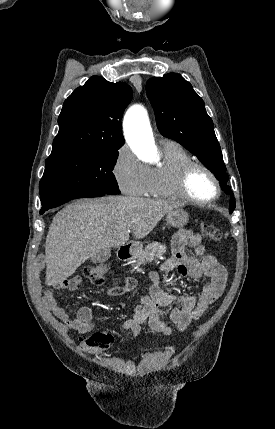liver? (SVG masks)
I'll return each instance as SVG.
<instances>
[{
  "label": "liver",
  "instance_id": "liver-1",
  "mask_svg": "<svg viewBox=\"0 0 275 429\" xmlns=\"http://www.w3.org/2000/svg\"><path fill=\"white\" fill-rule=\"evenodd\" d=\"M181 205L166 200L105 196L77 200L52 220L45 243L46 284L56 286L106 248L146 237L168 212Z\"/></svg>",
  "mask_w": 275,
  "mask_h": 429
}]
</instances>
